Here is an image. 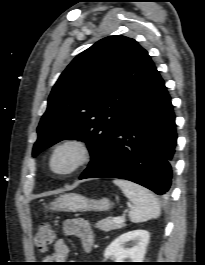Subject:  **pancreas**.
Returning <instances> with one entry per match:
<instances>
[{
	"instance_id": "cf45deb5",
	"label": "pancreas",
	"mask_w": 205,
	"mask_h": 265,
	"mask_svg": "<svg viewBox=\"0 0 205 265\" xmlns=\"http://www.w3.org/2000/svg\"><path fill=\"white\" fill-rule=\"evenodd\" d=\"M96 226L100 230L107 232L110 230L121 229L124 227V224L123 223H115V222H113L112 218H106V219L98 221Z\"/></svg>"
}]
</instances>
